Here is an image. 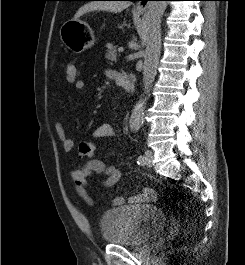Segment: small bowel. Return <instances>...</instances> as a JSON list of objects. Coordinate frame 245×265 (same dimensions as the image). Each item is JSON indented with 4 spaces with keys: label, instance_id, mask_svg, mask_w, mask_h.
Listing matches in <instances>:
<instances>
[{
    "label": "small bowel",
    "instance_id": "c3829d8e",
    "mask_svg": "<svg viewBox=\"0 0 245 265\" xmlns=\"http://www.w3.org/2000/svg\"><path fill=\"white\" fill-rule=\"evenodd\" d=\"M115 71H108L109 77L114 78ZM75 88L79 91H84L87 88V84L83 80H78L75 83ZM56 134L61 141L63 150L67 153H71L75 149V140L70 138L65 130L64 124L61 120L56 123ZM115 135L114 127L111 124L103 123L98 125L94 131L93 136L97 139L110 138ZM103 175L104 179L102 185L104 187H112L121 178V172L113 165H107L100 159H91L79 166L71 167L69 170V176L71 177L75 191L78 196L89 206H94L96 202L91 197L88 191V180L93 175ZM157 199V193L155 190L149 187H143L139 194L129 197L128 202L131 204H140L153 202ZM112 204L115 207H120L125 204V199L121 196L115 197L112 200Z\"/></svg>",
    "mask_w": 245,
    "mask_h": 265
}]
</instances>
